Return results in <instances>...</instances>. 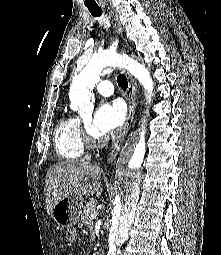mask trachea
<instances>
[{
	"mask_svg": "<svg viewBox=\"0 0 221 255\" xmlns=\"http://www.w3.org/2000/svg\"><path fill=\"white\" fill-rule=\"evenodd\" d=\"M89 11L93 17H99L102 15V9H89ZM117 83L122 89L128 88V81L124 74H119L117 76Z\"/></svg>",
	"mask_w": 221,
	"mask_h": 255,
	"instance_id": "1",
	"label": "trachea"
}]
</instances>
